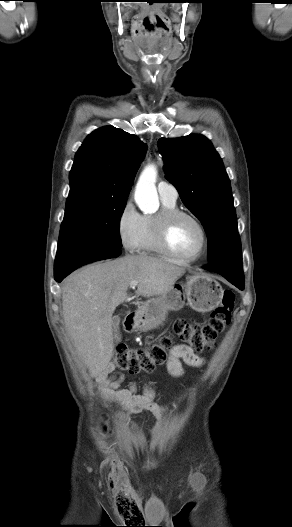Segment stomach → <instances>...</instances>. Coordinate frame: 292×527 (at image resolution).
I'll use <instances>...</instances> for the list:
<instances>
[{"mask_svg": "<svg viewBox=\"0 0 292 527\" xmlns=\"http://www.w3.org/2000/svg\"><path fill=\"white\" fill-rule=\"evenodd\" d=\"M222 293L220 284L208 275L187 276L165 294L145 302L136 312L133 326L143 332L154 329L165 320L168 311H178L185 304L197 312H210L221 303Z\"/></svg>", "mask_w": 292, "mask_h": 527, "instance_id": "1", "label": "stomach"}]
</instances>
